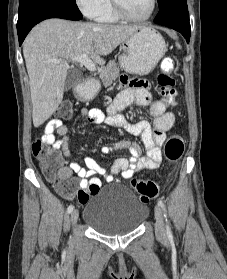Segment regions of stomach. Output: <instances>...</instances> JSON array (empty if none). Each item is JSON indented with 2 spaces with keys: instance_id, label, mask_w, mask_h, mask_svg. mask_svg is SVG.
Masks as SVG:
<instances>
[{
  "instance_id": "obj_1",
  "label": "stomach",
  "mask_w": 227,
  "mask_h": 279,
  "mask_svg": "<svg viewBox=\"0 0 227 279\" xmlns=\"http://www.w3.org/2000/svg\"><path fill=\"white\" fill-rule=\"evenodd\" d=\"M123 54L119 57L121 67L129 73L146 75L150 73L164 56L167 48L160 33L149 27H141L122 43ZM96 82L85 84L80 96L93 99L98 91Z\"/></svg>"
}]
</instances>
